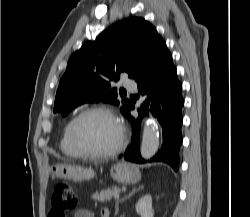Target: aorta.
<instances>
[{
	"instance_id": "aorta-1",
	"label": "aorta",
	"mask_w": 250,
	"mask_h": 217,
	"mask_svg": "<svg viewBox=\"0 0 250 217\" xmlns=\"http://www.w3.org/2000/svg\"><path fill=\"white\" fill-rule=\"evenodd\" d=\"M159 148V131L155 122L148 121L143 129L142 144L140 148L141 156L150 159Z\"/></svg>"
}]
</instances>
